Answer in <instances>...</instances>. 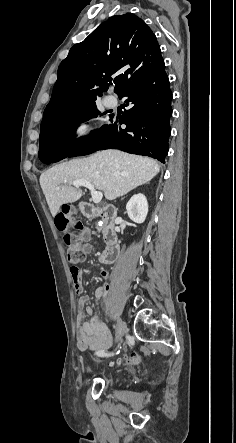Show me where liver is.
Wrapping results in <instances>:
<instances>
[{
  "label": "liver",
  "instance_id": "6515ba94",
  "mask_svg": "<svg viewBox=\"0 0 236 443\" xmlns=\"http://www.w3.org/2000/svg\"><path fill=\"white\" fill-rule=\"evenodd\" d=\"M159 171L158 162L152 158L119 150H104L50 168L41 174L40 185L50 212L55 217L61 205L73 203L83 195L81 189L73 188L68 183L88 181L103 191L107 200H114L149 182Z\"/></svg>",
  "mask_w": 236,
  "mask_h": 443
}]
</instances>
